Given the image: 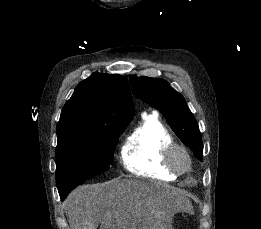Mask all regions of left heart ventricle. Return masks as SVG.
I'll use <instances>...</instances> for the list:
<instances>
[{"label":"left heart ventricle","mask_w":261,"mask_h":229,"mask_svg":"<svg viewBox=\"0 0 261 229\" xmlns=\"http://www.w3.org/2000/svg\"><path fill=\"white\" fill-rule=\"evenodd\" d=\"M177 162H178L179 165H183V164H184V158H183V156L179 155V156L177 157Z\"/></svg>","instance_id":"obj_1"}]
</instances>
